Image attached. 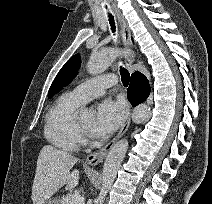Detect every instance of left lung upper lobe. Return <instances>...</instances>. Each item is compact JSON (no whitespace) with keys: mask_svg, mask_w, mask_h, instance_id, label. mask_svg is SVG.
Segmentation results:
<instances>
[{"mask_svg":"<svg viewBox=\"0 0 212 204\" xmlns=\"http://www.w3.org/2000/svg\"><path fill=\"white\" fill-rule=\"evenodd\" d=\"M80 63L81 60L79 54L74 55L66 62V64L61 68V70L57 74L49 89V98H51L54 94L60 91L63 87L68 85L76 77Z\"/></svg>","mask_w":212,"mask_h":204,"instance_id":"left-lung-upper-lobe-1","label":"left lung upper lobe"}]
</instances>
